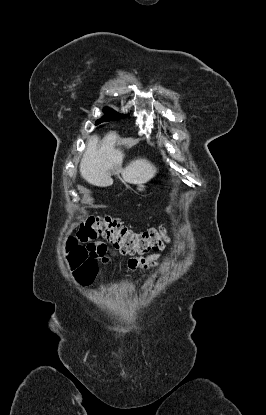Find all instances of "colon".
<instances>
[{
	"instance_id": "obj_1",
	"label": "colon",
	"mask_w": 266,
	"mask_h": 415,
	"mask_svg": "<svg viewBox=\"0 0 266 415\" xmlns=\"http://www.w3.org/2000/svg\"><path fill=\"white\" fill-rule=\"evenodd\" d=\"M101 236L111 243L122 254H146L159 251L167 242L164 228H151L135 232L115 217L91 216L85 219L76 234L67 241L66 250L69 264L75 276L83 283L93 281L97 272L96 258L87 246L79 242H87Z\"/></svg>"
}]
</instances>
